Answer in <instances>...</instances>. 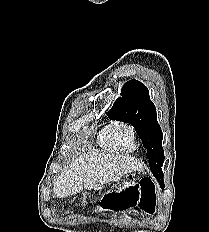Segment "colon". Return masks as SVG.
I'll use <instances>...</instances> for the list:
<instances>
[{
  "label": "colon",
  "instance_id": "colon-1",
  "mask_svg": "<svg viewBox=\"0 0 209 232\" xmlns=\"http://www.w3.org/2000/svg\"><path fill=\"white\" fill-rule=\"evenodd\" d=\"M102 210H132L153 215L157 210L156 186L151 179L144 178L119 193H106L99 201Z\"/></svg>",
  "mask_w": 209,
  "mask_h": 232
}]
</instances>
